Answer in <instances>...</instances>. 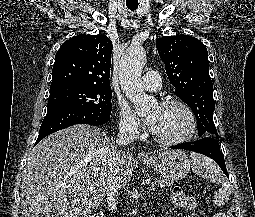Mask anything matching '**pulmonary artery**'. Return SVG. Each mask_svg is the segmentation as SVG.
<instances>
[{
    "label": "pulmonary artery",
    "mask_w": 255,
    "mask_h": 217,
    "mask_svg": "<svg viewBox=\"0 0 255 217\" xmlns=\"http://www.w3.org/2000/svg\"><path fill=\"white\" fill-rule=\"evenodd\" d=\"M143 87L149 91H158L161 88V76L157 71H147L142 78Z\"/></svg>",
    "instance_id": "e3ab8cb5"
}]
</instances>
